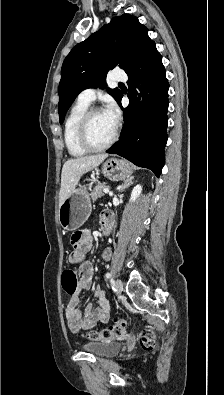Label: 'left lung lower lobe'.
Returning a JSON list of instances; mask_svg holds the SVG:
<instances>
[{"label":"left lung lower lobe","mask_w":224,"mask_h":395,"mask_svg":"<svg viewBox=\"0 0 224 395\" xmlns=\"http://www.w3.org/2000/svg\"><path fill=\"white\" fill-rule=\"evenodd\" d=\"M126 73L130 103L122 108L121 93L117 102L124 113L122 136L107 152L151 169L159 177L167 142L169 84L154 42L145 48Z\"/></svg>","instance_id":"left-lung-lower-lobe-1"}]
</instances>
